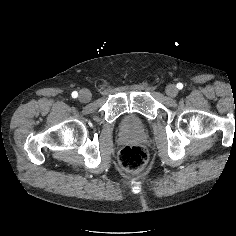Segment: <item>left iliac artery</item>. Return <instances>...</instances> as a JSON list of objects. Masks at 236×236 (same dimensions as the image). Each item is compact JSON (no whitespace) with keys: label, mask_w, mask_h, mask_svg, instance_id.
<instances>
[{"label":"left iliac artery","mask_w":236,"mask_h":236,"mask_svg":"<svg viewBox=\"0 0 236 236\" xmlns=\"http://www.w3.org/2000/svg\"><path fill=\"white\" fill-rule=\"evenodd\" d=\"M177 88H178V89H182V88H183V84H182V83H178V84H177Z\"/></svg>","instance_id":"left-iliac-artery-1"}]
</instances>
